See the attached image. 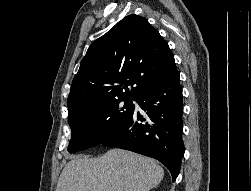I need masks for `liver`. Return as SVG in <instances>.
<instances>
[{"label":"liver","mask_w":251,"mask_h":191,"mask_svg":"<svg viewBox=\"0 0 251 191\" xmlns=\"http://www.w3.org/2000/svg\"><path fill=\"white\" fill-rule=\"evenodd\" d=\"M163 175V167L151 157L109 149L97 159L75 155L66 163L55 191H149Z\"/></svg>","instance_id":"6515ba94"}]
</instances>
